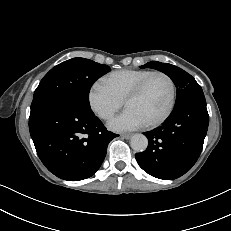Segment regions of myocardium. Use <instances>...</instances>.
Returning a JSON list of instances; mask_svg holds the SVG:
<instances>
[{"mask_svg": "<svg viewBox=\"0 0 231 231\" xmlns=\"http://www.w3.org/2000/svg\"><path fill=\"white\" fill-rule=\"evenodd\" d=\"M156 76H163L170 82L171 100H170V104H169L167 110L165 111V113L161 117H159L158 119H156L154 121L146 123V126L150 127V128H154V127H157V126H160L161 124H163L171 116V114L173 113V111L175 109L176 102H177V84H176L174 78L170 74H168L164 71H154L149 76H147L143 81H141L129 93V95L124 100V105L126 106L130 101L141 96L142 93L144 92V90L146 89V87L148 86V84L150 83V81Z\"/></svg>", "mask_w": 231, "mask_h": 231, "instance_id": "obj_1", "label": "myocardium"}]
</instances>
